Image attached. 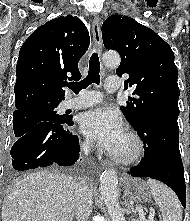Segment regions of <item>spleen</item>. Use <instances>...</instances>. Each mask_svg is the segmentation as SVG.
<instances>
[{
	"mask_svg": "<svg viewBox=\"0 0 190 221\" xmlns=\"http://www.w3.org/2000/svg\"><path fill=\"white\" fill-rule=\"evenodd\" d=\"M147 184L162 212L163 221H182V210L175 193L164 184L153 179H149Z\"/></svg>",
	"mask_w": 190,
	"mask_h": 221,
	"instance_id": "spleen-1",
	"label": "spleen"
}]
</instances>
